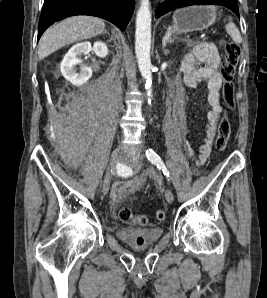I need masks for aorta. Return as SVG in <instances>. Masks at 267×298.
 Here are the masks:
<instances>
[{"mask_svg": "<svg viewBox=\"0 0 267 298\" xmlns=\"http://www.w3.org/2000/svg\"><path fill=\"white\" fill-rule=\"evenodd\" d=\"M151 48V10L149 0H141V5L136 17L135 53L138 67L145 80L148 102L152 97V65L150 60Z\"/></svg>", "mask_w": 267, "mask_h": 298, "instance_id": "1", "label": "aorta"}]
</instances>
